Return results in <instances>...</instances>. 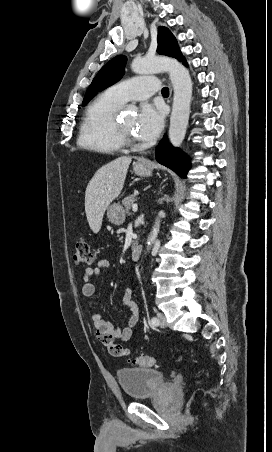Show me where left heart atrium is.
I'll use <instances>...</instances> for the list:
<instances>
[{"instance_id":"39dd6f15","label":"left heart atrium","mask_w":272,"mask_h":452,"mask_svg":"<svg viewBox=\"0 0 272 452\" xmlns=\"http://www.w3.org/2000/svg\"><path fill=\"white\" fill-rule=\"evenodd\" d=\"M162 126L163 112L161 108L145 105L142 107L135 124V134L141 140L150 141L158 136Z\"/></svg>"}]
</instances>
